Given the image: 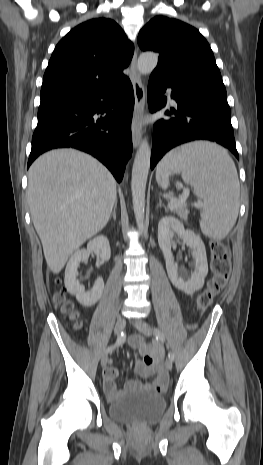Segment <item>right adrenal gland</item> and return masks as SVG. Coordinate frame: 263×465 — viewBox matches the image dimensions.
<instances>
[{"label": "right adrenal gland", "instance_id": "obj_1", "mask_svg": "<svg viewBox=\"0 0 263 465\" xmlns=\"http://www.w3.org/2000/svg\"><path fill=\"white\" fill-rule=\"evenodd\" d=\"M116 207H117V202H115L113 212L109 217V219H111L113 217L114 221L116 220Z\"/></svg>", "mask_w": 263, "mask_h": 465}]
</instances>
